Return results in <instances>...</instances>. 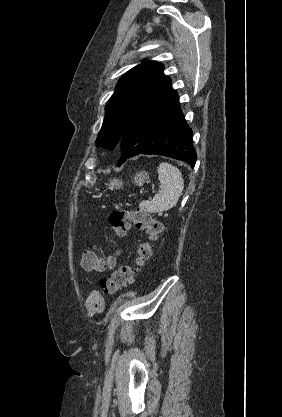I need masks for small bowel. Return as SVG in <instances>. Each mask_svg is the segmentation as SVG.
I'll return each mask as SVG.
<instances>
[{"instance_id": "obj_1", "label": "small bowel", "mask_w": 282, "mask_h": 417, "mask_svg": "<svg viewBox=\"0 0 282 417\" xmlns=\"http://www.w3.org/2000/svg\"><path fill=\"white\" fill-rule=\"evenodd\" d=\"M117 256L118 253L111 254L108 255V259H110L111 262H116ZM85 307L89 316L102 313L105 309V301L100 292L96 290L91 291L86 299Z\"/></svg>"}]
</instances>
